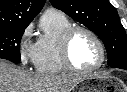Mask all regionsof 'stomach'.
I'll use <instances>...</instances> for the list:
<instances>
[{
    "label": "stomach",
    "instance_id": "obj_1",
    "mask_svg": "<svg viewBox=\"0 0 127 92\" xmlns=\"http://www.w3.org/2000/svg\"><path fill=\"white\" fill-rule=\"evenodd\" d=\"M107 81L108 80L101 75L92 74L79 82L77 90L78 92H107Z\"/></svg>",
    "mask_w": 127,
    "mask_h": 92
}]
</instances>
